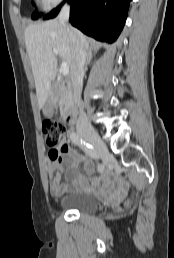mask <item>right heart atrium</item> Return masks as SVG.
<instances>
[{"label":"right heart atrium","mask_w":174,"mask_h":258,"mask_svg":"<svg viewBox=\"0 0 174 258\" xmlns=\"http://www.w3.org/2000/svg\"><path fill=\"white\" fill-rule=\"evenodd\" d=\"M63 0H39L42 7L49 11L56 7L59 3H61Z\"/></svg>","instance_id":"right-heart-atrium-1"}]
</instances>
